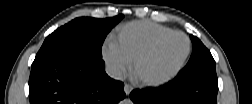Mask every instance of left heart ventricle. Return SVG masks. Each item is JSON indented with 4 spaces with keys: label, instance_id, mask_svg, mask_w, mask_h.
<instances>
[{
    "label": "left heart ventricle",
    "instance_id": "left-heart-ventricle-1",
    "mask_svg": "<svg viewBox=\"0 0 252 104\" xmlns=\"http://www.w3.org/2000/svg\"><path fill=\"white\" fill-rule=\"evenodd\" d=\"M186 44V39L183 36L174 37L160 53L151 54L141 60L137 65V73L147 76L161 72L181 59L186 49Z\"/></svg>",
    "mask_w": 252,
    "mask_h": 104
}]
</instances>
